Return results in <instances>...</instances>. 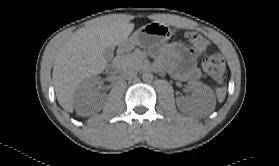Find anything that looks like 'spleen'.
Segmentation results:
<instances>
[{"label": "spleen", "instance_id": "spleen-1", "mask_svg": "<svg viewBox=\"0 0 279 166\" xmlns=\"http://www.w3.org/2000/svg\"><path fill=\"white\" fill-rule=\"evenodd\" d=\"M226 87L217 88L216 94L219 102H222L226 96Z\"/></svg>", "mask_w": 279, "mask_h": 166}]
</instances>
